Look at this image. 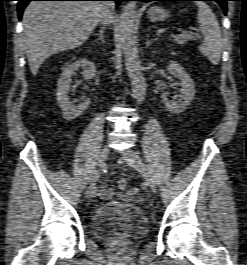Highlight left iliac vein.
Returning <instances> with one entry per match:
<instances>
[{
  "instance_id": "4c4485c4",
  "label": "left iliac vein",
  "mask_w": 247,
  "mask_h": 265,
  "mask_svg": "<svg viewBox=\"0 0 247 265\" xmlns=\"http://www.w3.org/2000/svg\"><path fill=\"white\" fill-rule=\"evenodd\" d=\"M125 160L136 169L145 179L146 184L152 192H156L155 181L141 157L133 150L128 149L123 153Z\"/></svg>"
}]
</instances>
